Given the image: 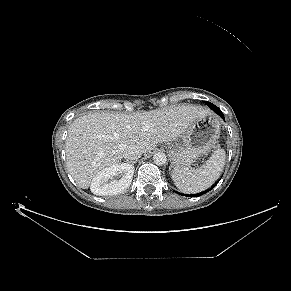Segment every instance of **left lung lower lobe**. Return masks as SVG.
<instances>
[{"label":"left lung lower lobe","instance_id":"0a47b994","mask_svg":"<svg viewBox=\"0 0 291 291\" xmlns=\"http://www.w3.org/2000/svg\"><path fill=\"white\" fill-rule=\"evenodd\" d=\"M211 109L214 110L218 115H220L224 119V115H223V113L221 112V110L218 107L215 106V107H213ZM196 196H200V194H197Z\"/></svg>","mask_w":291,"mask_h":291}]
</instances>
